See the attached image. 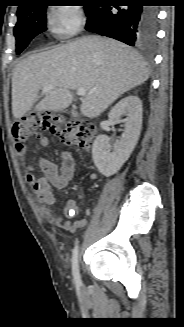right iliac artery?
<instances>
[{
  "label": "right iliac artery",
  "mask_w": 184,
  "mask_h": 327,
  "mask_svg": "<svg viewBox=\"0 0 184 327\" xmlns=\"http://www.w3.org/2000/svg\"><path fill=\"white\" fill-rule=\"evenodd\" d=\"M72 273H73L75 284L77 286H80L81 285V278H80L79 265H78V246H75V248L73 249Z\"/></svg>",
  "instance_id": "1"
}]
</instances>
